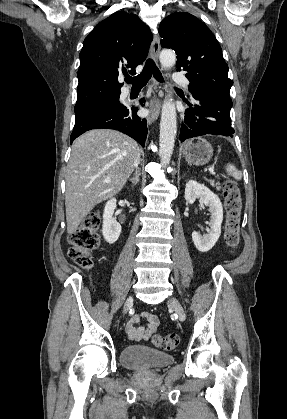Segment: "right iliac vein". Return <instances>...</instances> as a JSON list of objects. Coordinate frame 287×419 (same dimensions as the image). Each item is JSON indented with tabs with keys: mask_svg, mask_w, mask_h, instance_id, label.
Wrapping results in <instances>:
<instances>
[{
	"mask_svg": "<svg viewBox=\"0 0 287 419\" xmlns=\"http://www.w3.org/2000/svg\"><path fill=\"white\" fill-rule=\"evenodd\" d=\"M132 304H133V297L130 296L124 304L123 314H126L128 312V310L132 306Z\"/></svg>",
	"mask_w": 287,
	"mask_h": 419,
	"instance_id": "63e3f726",
	"label": "right iliac vein"
}]
</instances>
